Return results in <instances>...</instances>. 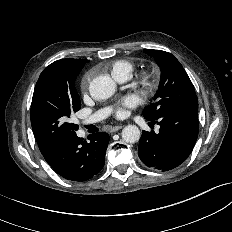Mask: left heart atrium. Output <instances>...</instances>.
<instances>
[{
	"instance_id": "left-heart-atrium-1",
	"label": "left heart atrium",
	"mask_w": 232,
	"mask_h": 232,
	"mask_svg": "<svg viewBox=\"0 0 232 232\" xmlns=\"http://www.w3.org/2000/svg\"><path fill=\"white\" fill-rule=\"evenodd\" d=\"M138 104V100L134 96H129L125 98L119 105L116 111L118 117H124L126 115V108L134 107Z\"/></svg>"
}]
</instances>
